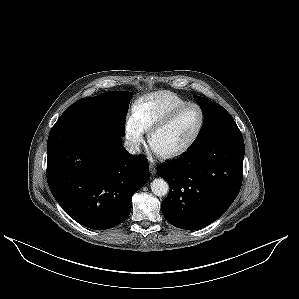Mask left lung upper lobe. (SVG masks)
Wrapping results in <instances>:
<instances>
[{"mask_svg":"<svg viewBox=\"0 0 299 299\" xmlns=\"http://www.w3.org/2000/svg\"><path fill=\"white\" fill-rule=\"evenodd\" d=\"M204 113V122L193 145L201 143L209 134L232 120L230 114L219 104L204 97L194 96Z\"/></svg>","mask_w":299,"mask_h":299,"instance_id":"left-lung-upper-lobe-1","label":"left lung upper lobe"}]
</instances>
